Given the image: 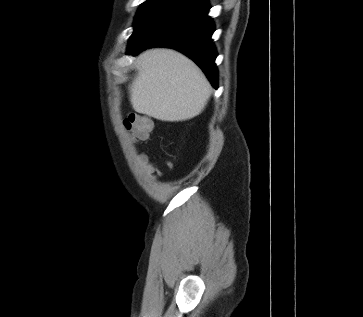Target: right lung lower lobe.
Segmentation results:
<instances>
[{
  "label": "right lung lower lobe",
  "mask_w": 363,
  "mask_h": 317,
  "mask_svg": "<svg viewBox=\"0 0 363 317\" xmlns=\"http://www.w3.org/2000/svg\"><path fill=\"white\" fill-rule=\"evenodd\" d=\"M206 0H185L155 20L134 41L129 42L128 54L164 46L177 49L194 60L217 88L215 51L211 36L214 25Z\"/></svg>",
  "instance_id": "1"
}]
</instances>
